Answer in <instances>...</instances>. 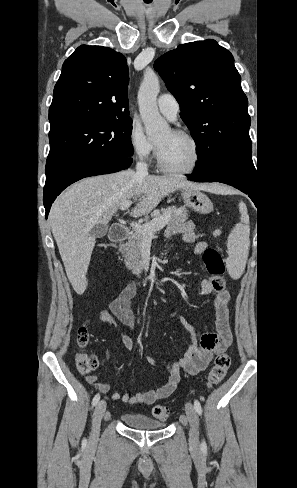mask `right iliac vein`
I'll return each instance as SVG.
<instances>
[{
	"label": "right iliac vein",
	"mask_w": 297,
	"mask_h": 488,
	"mask_svg": "<svg viewBox=\"0 0 297 488\" xmlns=\"http://www.w3.org/2000/svg\"><path fill=\"white\" fill-rule=\"evenodd\" d=\"M106 411V402L104 400H101L95 408L94 415H93V420H92V430L90 433V445L94 446L99 437V432H100V424L101 420L104 416V413Z\"/></svg>",
	"instance_id": "obj_1"
}]
</instances>
